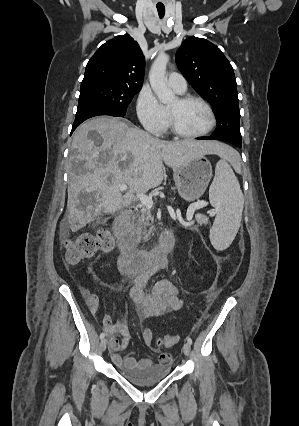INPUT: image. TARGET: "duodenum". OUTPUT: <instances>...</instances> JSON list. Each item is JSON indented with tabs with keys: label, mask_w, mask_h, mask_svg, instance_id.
<instances>
[{
	"label": "duodenum",
	"mask_w": 299,
	"mask_h": 426,
	"mask_svg": "<svg viewBox=\"0 0 299 426\" xmlns=\"http://www.w3.org/2000/svg\"><path fill=\"white\" fill-rule=\"evenodd\" d=\"M113 227L119 243V268L127 275H135L153 261L167 257L174 247L173 233L164 231L158 244L151 250L136 248L134 237L129 228L128 216L125 213L116 217Z\"/></svg>",
	"instance_id": "410a0bca"
}]
</instances>
